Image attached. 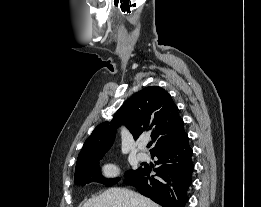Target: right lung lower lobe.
<instances>
[{
  "instance_id": "1",
  "label": "right lung lower lobe",
  "mask_w": 261,
  "mask_h": 207,
  "mask_svg": "<svg viewBox=\"0 0 261 207\" xmlns=\"http://www.w3.org/2000/svg\"><path fill=\"white\" fill-rule=\"evenodd\" d=\"M151 156L158 158V167L154 169L156 174L151 176L152 167L144 165L124 183L134 186L163 207H184L194 170L188 136L175 145L155 151Z\"/></svg>"
}]
</instances>
